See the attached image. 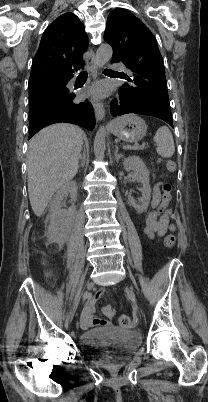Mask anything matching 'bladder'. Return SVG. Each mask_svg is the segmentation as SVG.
Segmentation results:
<instances>
[{"label": "bladder", "mask_w": 208, "mask_h": 402, "mask_svg": "<svg viewBox=\"0 0 208 402\" xmlns=\"http://www.w3.org/2000/svg\"><path fill=\"white\" fill-rule=\"evenodd\" d=\"M141 338L125 328H99L83 332L81 344L90 355L105 356L107 359H94L97 363L120 362L129 357L140 345Z\"/></svg>", "instance_id": "31cf9c89"}]
</instances>
